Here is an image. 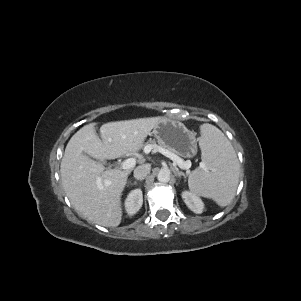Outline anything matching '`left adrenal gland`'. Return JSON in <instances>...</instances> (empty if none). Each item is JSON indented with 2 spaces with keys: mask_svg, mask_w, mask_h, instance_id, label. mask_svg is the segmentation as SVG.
Masks as SVG:
<instances>
[{
  "mask_svg": "<svg viewBox=\"0 0 301 301\" xmlns=\"http://www.w3.org/2000/svg\"><path fill=\"white\" fill-rule=\"evenodd\" d=\"M174 170L178 177L183 176L184 178H186V175L183 172L179 171L178 168H175Z\"/></svg>",
  "mask_w": 301,
  "mask_h": 301,
  "instance_id": "1",
  "label": "left adrenal gland"
}]
</instances>
